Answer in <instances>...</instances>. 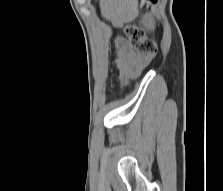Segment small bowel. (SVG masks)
Listing matches in <instances>:
<instances>
[{"label": "small bowel", "instance_id": "small-bowel-1", "mask_svg": "<svg viewBox=\"0 0 223 191\" xmlns=\"http://www.w3.org/2000/svg\"><path fill=\"white\" fill-rule=\"evenodd\" d=\"M115 46L119 79L122 83H126L129 79L140 74L145 64V58L137 53L129 42L122 37L115 39Z\"/></svg>", "mask_w": 223, "mask_h": 191}]
</instances>
